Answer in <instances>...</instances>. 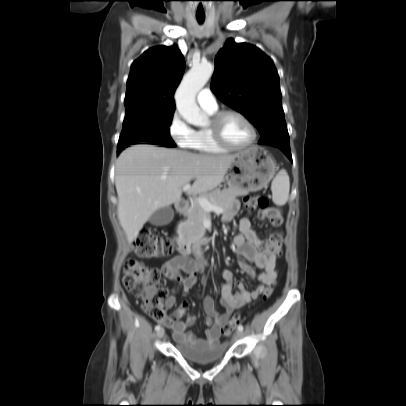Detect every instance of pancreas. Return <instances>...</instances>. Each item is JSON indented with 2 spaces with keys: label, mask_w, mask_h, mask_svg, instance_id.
<instances>
[{
  "label": "pancreas",
  "mask_w": 406,
  "mask_h": 406,
  "mask_svg": "<svg viewBox=\"0 0 406 406\" xmlns=\"http://www.w3.org/2000/svg\"><path fill=\"white\" fill-rule=\"evenodd\" d=\"M248 192L238 188H227L222 191L217 189L209 194H203L199 198H206L211 203L219 206L226 211L230 208L236 197L247 194ZM199 198H193L190 207L186 211V220L178 225V232L182 236L195 240L205 234L206 229L203 226L205 210L199 205Z\"/></svg>",
  "instance_id": "obj_1"
}]
</instances>
